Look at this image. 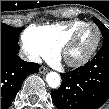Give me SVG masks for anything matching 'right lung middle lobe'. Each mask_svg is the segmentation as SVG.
<instances>
[{"label":"right lung middle lobe","instance_id":"1","mask_svg":"<svg viewBox=\"0 0 109 109\" xmlns=\"http://www.w3.org/2000/svg\"><path fill=\"white\" fill-rule=\"evenodd\" d=\"M23 29L24 27L15 28L7 24L1 23V38L17 44L19 41V32Z\"/></svg>","mask_w":109,"mask_h":109}]
</instances>
